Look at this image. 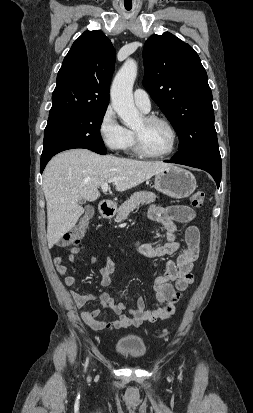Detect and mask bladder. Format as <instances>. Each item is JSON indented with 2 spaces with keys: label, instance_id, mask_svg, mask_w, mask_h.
Here are the masks:
<instances>
[{
  "label": "bladder",
  "instance_id": "obj_1",
  "mask_svg": "<svg viewBox=\"0 0 253 413\" xmlns=\"http://www.w3.org/2000/svg\"><path fill=\"white\" fill-rule=\"evenodd\" d=\"M117 355L125 359L138 360L147 354V347L139 341L125 340L116 345Z\"/></svg>",
  "mask_w": 253,
  "mask_h": 413
}]
</instances>
